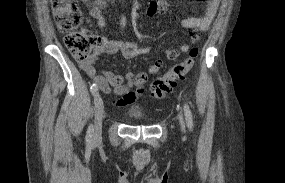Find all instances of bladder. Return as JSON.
I'll return each instance as SVG.
<instances>
[{"label":"bladder","instance_id":"bladder-1","mask_svg":"<svg viewBox=\"0 0 285 183\" xmlns=\"http://www.w3.org/2000/svg\"><path fill=\"white\" fill-rule=\"evenodd\" d=\"M128 116L133 119H141L143 117V111L140 107H132L127 112Z\"/></svg>","mask_w":285,"mask_h":183}]
</instances>
